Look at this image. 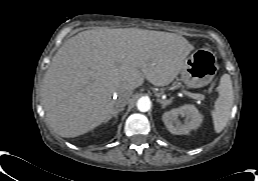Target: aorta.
<instances>
[{"label": "aorta", "instance_id": "762f6f07", "mask_svg": "<svg viewBox=\"0 0 258 181\" xmlns=\"http://www.w3.org/2000/svg\"><path fill=\"white\" fill-rule=\"evenodd\" d=\"M151 107V101L149 98L141 97L137 101V108L141 112H147Z\"/></svg>", "mask_w": 258, "mask_h": 181}]
</instances>
